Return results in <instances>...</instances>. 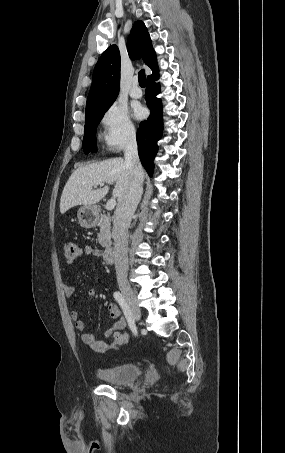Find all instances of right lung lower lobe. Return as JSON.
<instances>
[{
	"label": "right lung lower lobe",
	"instance_id": "98d812e1",
	"mask_svg": "<svg viewBox=\"0 0 285 453\" xmlns=\"http://www.w3.org/2000/svg\"><path fill=\"white\" fill-rule=\"evenodd\" d=\"M158 77L159 70L147 77L145 100L151 112L148 119L140 123L137 132L139 157L149 176H152L154 170L153 159L158 149L156 142L162 134L161 101L156 97L160 92V86L155 83Z\"/></svg>",
	"mask_w": 285,
	"mask_h": 453
}]
</instances>
